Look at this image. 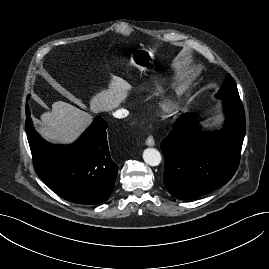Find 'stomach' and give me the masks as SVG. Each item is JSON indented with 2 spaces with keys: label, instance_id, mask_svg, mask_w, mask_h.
I'll use <instances>...</instances> for the list:
<instances>
[{
  "label": "stomach",
  "instance_id": "obj_1",
  "mask_svg": "<svg viewBox=\"0 0 269 269\" xmlns=\"http://www.w3.org/2000/svg\"><path fill=\"white\" fill-rule=\"evenodd\" d=\"M155 58L154 51L150 48L142 47L136 49L130 55V64L142 72L148 71Z\"/></svg>",
  "mask_w": 269,
  "mask_h": 269
}]
</instances>
